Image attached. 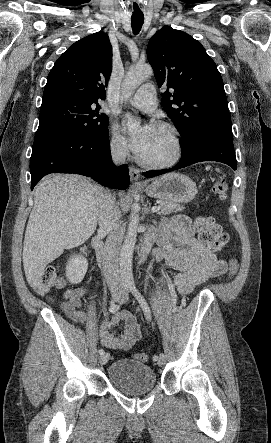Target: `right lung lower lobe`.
<instances>
[{
	"label": "right lung lower lobe",
	"instance_id": "1",
	"mask_svg": "<svg viewBox=\"0 0 271 443\" xmlns=\"http://www.w3.org/2000/svg\"><path fill=\"white\" fill-rule=\"evenodd\" d=\"M30 173L31 190L50 173L81 174L116 189L130 183L127 165L112 164L108 130L92 137L53 131L35 138Z\"/></svg>",
	"mask_w": 271,
	"mask_h": 443
}]
</instances>
